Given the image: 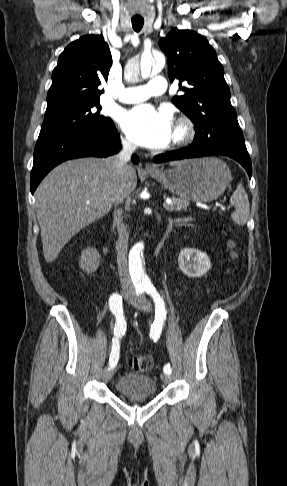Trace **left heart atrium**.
Returning <instances> with one entry per match:
<instances>
[{
    "instance_id": "left-heart-atrium-1",
    "label": "left heart atrium",
    "mask_w": 287,
    "mask_h": 486,
    "mask_svg": "<svg viewBox=\"0 0 287 486\" xmlns=\"http://www.w3.org/2000/svg\"><path fill=\"white\" fill-rule=\"evenodd\" d=\"M120 125L133 142L147 148H163L173 137L171 115L149 104L137 105L125 111L121 115Z\"/></svg>"
}]
</instances>
